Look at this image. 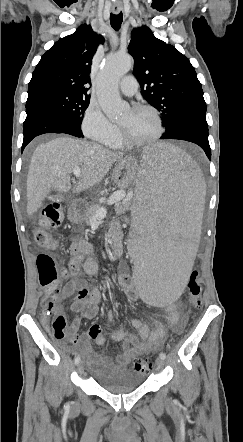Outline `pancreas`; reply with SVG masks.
<instances>
[{"mask_svg": "<svg viewBox=\"0 0 243 442\" xmlns=\"http://www.w3.org/2000/svg\"><path fill=\"white\" fill-rule=\"evenodd\" d=\"M130 203L127 199H125L122 202H117L115 204V211L117 214H123L129 209ZM100 208L99 205H93L90 208H88L86 212V224L89 225L92 221V218L94 217L96 211Z\"/></svg>", "mask_w": 243, "mask_h": 442, "instance_id": "obj_1", "label": "pancreas"}]
</instances>
